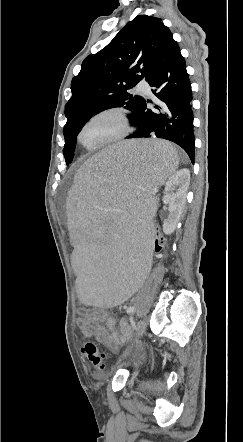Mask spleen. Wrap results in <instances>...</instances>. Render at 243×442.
I'll return each instance as SVG.
<instances>
[{"instance_id":"spleen-1","label":"spleen","mask_w":243,"mask_h":442,"mask_svg":"<svg viewBox=\"0 0 243 442\" xmlns=\"http://www.w3.org/2000/svg\"><path fill=\"white\" fill-rule=\"evenodd\" d=\"M178 165L171 143L130 140L100 147L74 173L66 207L74 289L84 307H122L144 291L155 253L146 215L156 199L142 192H155Z\"/></svg>"}]
</instances>
